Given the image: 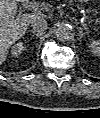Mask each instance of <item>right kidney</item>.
<instances>
[{
  "label": "right kidney",
  "mask_w": 100,
  "mask_h": 118,
  "mask_svg": "<svg viewBox=\"0 0 100 118\" xmlns=\"http://www.w3.org/2000/svg\"><path fill=\"white\" fill-rule=\"evenodd\" d=\"M25 50V46L22 42H19L12 46L11 48V54L14 57H18L21 55V53Z\"/></svg>",
  "instance_id": "right-kidney-1"
}]
</instances>
